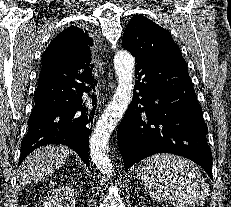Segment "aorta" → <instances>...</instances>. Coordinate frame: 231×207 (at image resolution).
<instances>
[{
    "mask_svg": "<svg viewBox=\"0 0 231 207\" xmlns=\"http://www.w3.org/2000/svg\"><path fill=\"white\" fill-rule=\"evenodd\" d=\"M134 67L135 59L128 51L117 52L114 57V69L118 77V86L111 102L97 121L90 138L91 160L106 176H111L113 173V164L108 156V139L131 102Z\"/></svg>",
    "mask_w": 231,
    "mask_h": 207,
    "instance_id": "1",
    "label": "aorta"
}]
</instances>
